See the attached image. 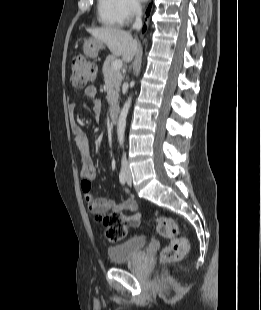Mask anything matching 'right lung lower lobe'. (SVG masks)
Returning a JSON list of instances; mask_svg holds the SVG:
<instances>
[{"label":"right lung lower lobe","mask_w":261,"mask_h":310,"mask_svg":"<svg viewBox=\"0 0 261 310\" xmlns=\"http://www.w3.org/2000/svg\"><path fill=\"white\" fill-rule=\"evenodd\" d=\"M150 8H151V5L148 7V9H147V11H146L147 16L149 15ZM143 30H144V31L146 30V26H143Z\"/></svg>","instance_id":"obj_1"}]
</instances>
